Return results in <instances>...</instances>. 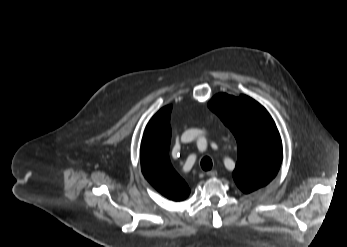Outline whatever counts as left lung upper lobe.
Segmentation results:
<instances>
[{
    "mask_svg": "<svg viewBox=\"0 0 347 247\" xmlns=\"http://www.w3.org/2000/svg\"><path fill=\"white\" fill-rule=\"evenodd\" d=\"M234 134L238 161L233 172L237 186L250 193L267 185L277 174L282 161V142L274 120L252 98L220 93L208 103Z\"/></svg>",
    "mask_w": 347,
    "mask_h": 247,
    "instance_id": "5c2ea615",
    "label": "left lung upper lobe"
}]
</instances>
